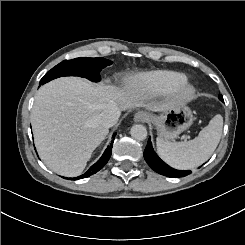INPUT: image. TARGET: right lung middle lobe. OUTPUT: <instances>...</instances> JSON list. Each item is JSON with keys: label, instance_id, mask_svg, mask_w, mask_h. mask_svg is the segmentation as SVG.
Wrapping results in <instances>:
<instances>
[{"label": "right lung middle lobe", "instance_id": "obj_1", "mask_svg": "<svg viewBox=\"0 0 245 245\" xmlns=\"http://www.w3.org/2000/svg\"><path fill=\"white\" fill-rule=\"evenodd\" d=\"M111 64L110 60L101 57L64 60L48 71L41 79L40 84L61 76H81L97 82L101 79L99 73L102 68Z\"/></svg>", "mask_w": 245, "mask_h": 245}]
</instances>
